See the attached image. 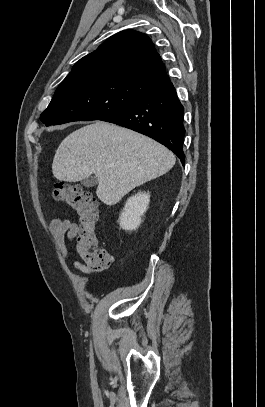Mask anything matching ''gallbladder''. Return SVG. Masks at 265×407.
Returning <instances> with one entry per match:
<instances>
[{
	"label": "gallbladder",
	"mask_w": 265,
	"mask_h": 407,
	"mask_svg": "<svg viewBox=\"0 0 265 407\" xmlns=\"http://www.w3.org/2000/svg\"><path fill=\"white\" fill-rule=\"evenodd\" d=\"M98 183V180L96 177H88L85 178L81 181V184L87 188L93 187Z\"/></svg>",
	"instance_id": "1"
}]
</instances>
